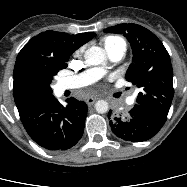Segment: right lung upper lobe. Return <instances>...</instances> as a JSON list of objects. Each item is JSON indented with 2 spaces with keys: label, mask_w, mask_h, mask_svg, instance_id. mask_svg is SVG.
<instances>
[{
  "label": "right lung upper lobe",
  "mask_w": 187,
  "mask_h": 187,
  "mask_svg": "<svg viewBox=\"0 0 187 187\" xmlns=\"http://www.w3.org/2000/svg\"><path fill=\"white\" fill-rule=\"evenodd\" d=\"M95 37L94 33L69 35L48 30L33 37L19 52L14 67V100L18 111L38 100L30 99L19 89L16 77L20 67L29 60L55 61L66 64L71 54Z\"/></svg>",
  "instance_id": "1"
}]
</instances>
